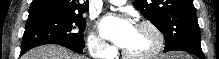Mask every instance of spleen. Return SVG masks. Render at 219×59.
<instances>
[{
	"label": "spleen",
	"instance_id": "3e777b00",
	"mask_svg": "<svg viewBox=\"0 0 219 59\" xmlns=\"http://www.w3.org/2000/svg\"><path fill=\"white\" fill-rule=\"evenodd\" d=\"M174 56H176V58L181 57V58L183 59V56H182L181 54H176V55H174Z\"/></svg>",
	"mask_w": 219,
	"mask_h": 59
}]
</instances>
